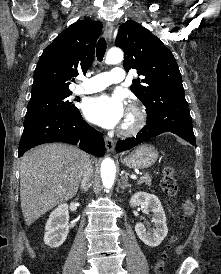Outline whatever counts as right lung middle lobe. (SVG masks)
<instances>
[{"mask_svg":"<svg viewBox=\"0 0 221 274\" xmlns=\"http://www.w3.org/2000/svg\"><path fill=\"white\" fill-rule=\"evenodd\" d=\"M70 95L71 93H65L30 100L25 120L55 113L78 116L80 111L69 99Z\"/></svg>","mask_w":221,"mask_h":274,"instance_id":"obj_1","label":"right lung middle lobe"}]
</instances>
